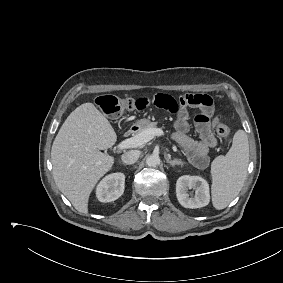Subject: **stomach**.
Wrapping results in <instances>:
<instances>
[{
  "label": "stomach",
  "mask_w": 283,
  "mask_h": 283,
  "mask_svg": "<svg viewBox=\"0 0 283 283\" xmlns=\"http://www.w3.org/2000/svg\"><path fill=\"white\" fill-rule=\"evenodd\" d=\"M150 122L149 119H140L133 126L137 127L139 130L144 128Z\"/></svg>",
  "instance_id": "obj_1"
}]
</instances>
